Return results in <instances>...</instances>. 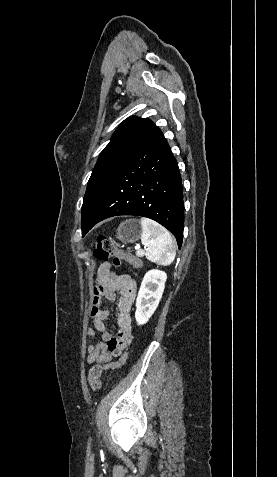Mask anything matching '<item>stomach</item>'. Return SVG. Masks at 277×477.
I'll use <instances>...</instances> for the list:
<instances>
[{
  "instance_id": "1",
  "label": "stomach",
  "mask_w": 277,
  "mask_h": 477,
  "mask_svg": "<svg viewBox=\"0 0 277 477\" xmlns=\"http://www.w3.org/2000/svg\"><path fill=\"white\" fill-rule=\"evenodd\" d=\"M142 227L136 219L122 222L117 228V237L123 243H134L141 238Z\"/></svg>"
}]
</instances>
